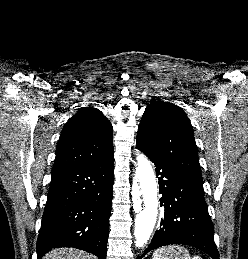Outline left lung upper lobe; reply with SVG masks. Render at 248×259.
<instances>
[{
	"mask_svg": "<svg viewBox=\"0 0 248 259\" xmlns=\"http://www.w3.org/2000/svg\"><path fill=\"white\" fill-rule=\"evenodd\" d=\"M137 145L167 161L189 180L203 184L190 120L179 107L153 101L138 127Z\"/></svg>",
	"mask_w": 248,
	"mask_h": 259,
	"instance_id": "5c2ea615",
	"label": "left lung upper lobe"
}]
</instances>
